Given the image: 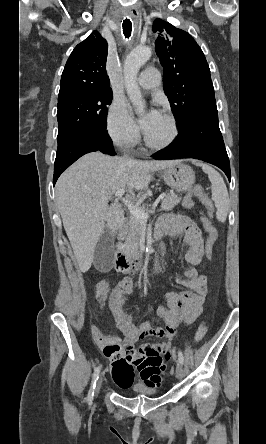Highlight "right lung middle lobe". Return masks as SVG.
<instances>
[{"instance_id":"1","label":"right lung middle lobe","mask_w":266,"mask_h":444,"mask_svg":"<svg viewBox=\"0 0 266 444\" xmlns=\"http://www.w3.org/2000/svg\"><path fill=\"white\" fill-rule=\"evenodd\" d=\"M112 90H97L58 100V149L89 132L106 131Z\"/></svg>"}]
</instances>
